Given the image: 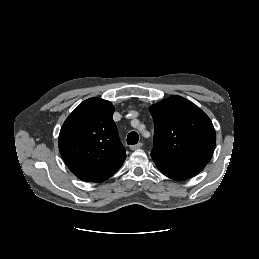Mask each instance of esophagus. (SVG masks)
<instances>
[{
	"label": "esophagus",
	"mask_w": 259,
	"mask_h": 259,
	"mask_svg": "<svg viewBox=\"0 0 259 259\" xmlns=\"http://www.w3.org/2000/svg\"><path fill=\"white\" fill-rule=\"evenodd\" d=\"M142 146H143V144H142L141 142H139V143L136 144V145L130 146V149H131V150H137V149L141 148Z\"/></svg>",
	"instance_id": "obj_1"
}]
</instances>
